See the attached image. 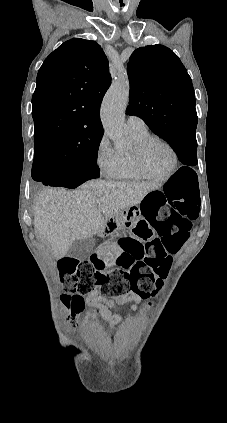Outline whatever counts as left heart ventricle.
I'll use <instances>...</instances> for the list:
<instances>
[{
	"label": "left heart ventricle",
	"mask_w": 227,
	"mask_h": 423,
	"mask_svg": "<svg viewBox=\"0 0 227 423\" xmlns=\"http://www.w3.org/2000/svg\"><path fill=\"white\" fill-rule=\"evenodd\" d=\"M171 162V153L161 143H153L146 151V166L154 174H164L167 172L171 166Z\"/></svg>",
	"instance_id": "b2bd125f"
}]
</instances>
